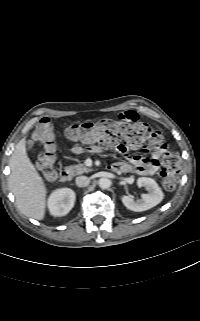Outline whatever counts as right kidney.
<instances>
[{"instance_id": "1", "label": "right kidney", "mask_w": 200, "mask_h": 321, "mask_svg": "<svg viewBox=\"0 0 200 321\" xmlns=\"http://www.w3.org/2000/svg\"><path fill=\"white\" fill-rule=\"evenodd\" d=\"M76 195L72 189L61 188L52 192L48 199V208L53 216H64L70 212Z\"/></svg>"}]
</instances>
